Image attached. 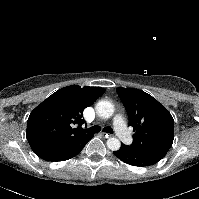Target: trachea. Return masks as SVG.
<instances>
[{"instance_id": "obj_1", "label": "trachea", "mask_w": 199, "mask_h": 199, "mask_svg": "<svg viewBox=\"0 0 199 199\" xmlns=\"http://www.w3.org/2000/svg\"><path fill=\"white\" fill-rule=\"evenodd\" d=\"M88 133H98L101 131V128L98 125H94L92 127H90L89 129L86 130ZM103 132L106 133H113V129L111 127H105L103 128Z\"/></svg>"}]
</instances>
